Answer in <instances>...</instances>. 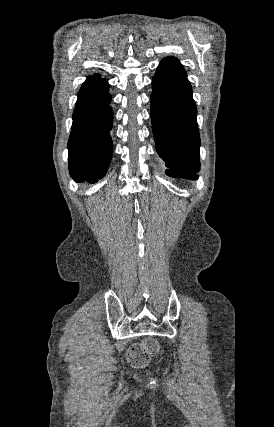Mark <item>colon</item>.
<instances>
[{
    "instance_id": "1",
    "label": "colon",
    "mask_w": 274,
    "mask_h": 427,
    "mask_svg": "<svg viewBox=\"0 0 274 427\" xmlns=\"http://www.w3.org/2000/svg\"><path fill=\"white\" fill-rule=\"evenodd\" d=\"M159 353V346L154 340H144L139 343L131 345L126 354L125 358L129 365L134 368H144L150 358L156 356Z\"/></svg>"
}]
</instances>
